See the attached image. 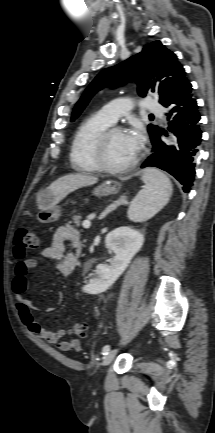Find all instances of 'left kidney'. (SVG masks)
<instances>
[{
  "instance_id": "obj_1",
  "label": "left kidney",
  "mask_w": 215,
  "mask_h": 433,
  "mask_svg": "<svg viewBox=\"0 0 215 433\" xmlns=\"http://www.w3.org/2000/svg\"><path fill=\"white\" fill-rule=\"evenodd\" d=\"M143 235L130 227L114 229L105 238L106 248L115 253L110 264H99L96 268L97 278L82 287L88 294H99L106 291L125 271L133 256L141 249Z\"/></svg>"
}]
</instances>
